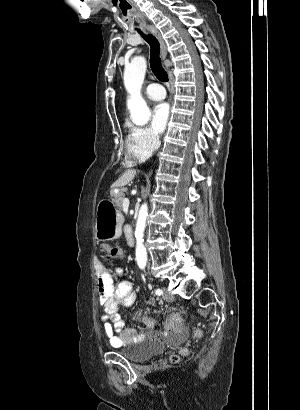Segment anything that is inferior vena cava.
I'll use <instances>...</instances> for the list:
<instances>
[{
	"mask_svg": "<svg viewBox=\"0 0 300 410\" xmlns=\"http://www.w3.org/2000/svg\"><path fill=\"white\" fill-rule=\"evenodd\" d=\"M155 145H156V147H158L160 145L158 136L155 138Z\"/></svg>",
	"mask_w": 300,
	"mask_h": 410,
	"instance_id": "602c4592",
	"label": "inferior vena cava"
}]
</instances>
